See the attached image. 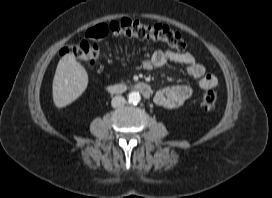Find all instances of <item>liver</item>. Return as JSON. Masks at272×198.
Here are the masks:
<instances>
[{
  "mask_svg": "<svg viewBox=\"0 0 272 198\" xmlns=\"http://www.w3.org/2000/svg\"><path fill=\"white\" fill-rule=\"evenodd\" d=\"M88 74L72 54L64 55L58 62L52 85L53 102L62 108L71 104L85 91Z\"/></svg>",
  "mask_w": 272,
  "mask_h": 198,
  "instance_id": "liver-1",
  "label": "liver"
}]
</instances>
